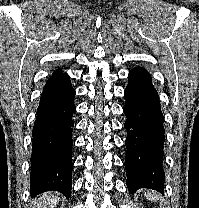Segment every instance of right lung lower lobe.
I'll list each match as a JSON object with an SVG mask.
<instances>
[{
  "label": "right lung lower lobe",
  "mask_w": 199,
  "mask_h": 208,
  "mask_svg": "<svg viewBox=\"0 0 199 208\" xmlns=\"http://www.w3.org/2000/svg\"><path fill=\"white\" fill-rule=\"evenodd\" d=\"M74 96L75 90L67 74L50 78L44 86L32 131V196L58 191L70 197Z\"/></svg>",
  "instance_id": "98d812e1"
}]
</instances>
